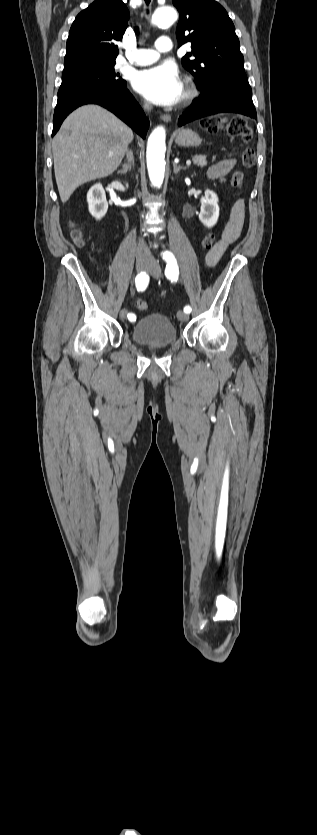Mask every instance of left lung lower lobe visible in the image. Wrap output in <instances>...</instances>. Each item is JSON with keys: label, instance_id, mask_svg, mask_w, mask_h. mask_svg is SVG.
I'll return each mask as SVG.
<instances>
[{"label": "left lung lower lobe", "instance_id": "obj_1", "mask_svg": "<svg viewBox=\"0 0 317 835\" xmlns=\"http://www.w3.org/2000/svg\"><path fill=\"white\" fill-rule=\"evenodd\" d=\"M217 113H237L257 119L246 74L219 76L216 86L201 90L200 96L179 118L178 125Z\"/></svg>", "mask_w": 317, "mask_h": 835}]
</instances>
